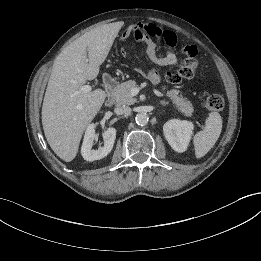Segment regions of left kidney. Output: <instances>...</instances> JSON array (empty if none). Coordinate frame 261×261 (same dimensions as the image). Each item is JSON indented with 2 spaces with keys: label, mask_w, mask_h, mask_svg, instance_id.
<instances>
[{
  "label": "left kidney",
  "mask_w": 261,
  "mask_h": 261,
  "mask_svg": "<svg viewBox=\"0 0 261 261\" xmlns=\"http://www.w3.org/2000/svg\"><path fill=\"white\" fill-rule=\"evenodd\" d=\"M193 128V123L190 121L172 119L164 124L163 132L173 150L182 153L187 149Z\"/></svg>",
  "instance_id": "1"
}]
</instances>
